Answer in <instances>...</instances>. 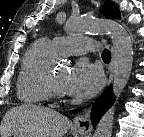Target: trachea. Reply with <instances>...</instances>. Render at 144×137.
Wrapping results in <instances>:
<instances>
[{"instance_id":"1","label":"trachea","mask_w":144,"mask_h":137,"mask_svg":"<svg viewBox=\"0 0 144 137\" xmlns=\"http://www.w3.org/2000/svg\"><path fill=\"white\" fill-rule=\"evenodd\" d=\"M102 59L103 60H110L111 59L110 51L108 49L103 50Z\"/></svg>"}]
</instances>
